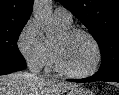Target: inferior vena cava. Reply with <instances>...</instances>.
<instances>
[{
    "label": "inferior vena cava",
    "mask_w": 119,
    "mask_h": 95,
    "mask_svg": "<svg viewBox=\"0 0 119 95\" xmlns=\"http://www.w3.org/2000/svg\"><path fill=\"white\" fill-rule=\"evenodd\" d=\"M32 77H35V74H31Z\"/></svg>",
    "instance_id": "1"
}]
</instances>
